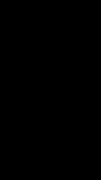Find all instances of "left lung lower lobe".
Here are the masks:
<instances>
[{"instance_id":"1","label":"left lung lower lobe","mask_w":101,"mask_h":180,"mask_svg":"<svg viewBox=\"0 0 101 180\" xmlns=\"http://www.w3.org/2000/svg\"><path fill=\"white\" fill-rule=\"evenodd\" d=\"M62 140L74 153L90 155L101 145V131L91 126L75 124L71 132L62 135Z\"/></svg>"}]
</instances>
